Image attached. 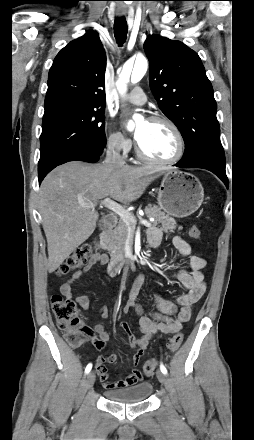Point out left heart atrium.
Listing matches in <instances>:
<instances>
[{
    "label": "left heart atrium",
    "instance_id": "obj_1",
    "mask_svg": "<svg viewBox=\"0 0 254 440\" xmlns=\"http://www.w3.org/2000/svg\"><path fill=\"white\" fill-rule=\"evenodd\" d=\"M140 135H141V132H140V130L138 129L137 132H136V139H137V141H138Z\"/></svg>",
    "mask_w": 254,
    "mask_h": 440
}]
</instances>
